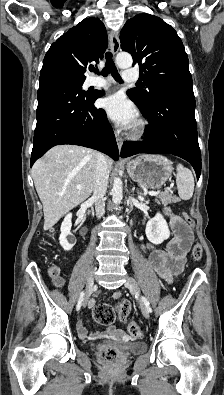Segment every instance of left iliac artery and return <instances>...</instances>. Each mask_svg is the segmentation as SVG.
<instances>
[{"label": "left iliac artery", "instance_id": "1", "mask_svg": "<svg viewBox=\"0 0 224 395\" xmlns=\"http://www.w3.org/2000/svg\"><path fill=\"white\" fill-rule=\"evenodd\" d=\"M142 300L145 303V305L147 306L149 312H152V308L150 307L148 300L145 297H142Z\"/></svg>", "mask_w": 224, "mask_h": 395}]
</instances>
